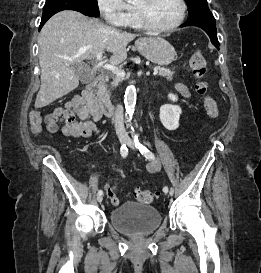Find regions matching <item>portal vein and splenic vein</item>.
Segmentation results:
<instances>
[{
  "mask_svg": "<svg viewBox=\"0 0 261 273\" xmlns=\"http://www.w3.org/2000/svg\"><path fill=\"white\" fill-rule=\"evenodd\" d=\"M98 63V66L111 71L112 73H114L115 75L119 76V77H125V71L119 67H117L114 64H104L102 61V52H99L96 56ZM158 73L157 70H154L153 74L156 75Z\"/></svg>",
  "mask_w": 261,
  "mask_h": 273,
  "instance_id": "18ae733b",
  "label": "portal vein and splenic vein"
}]
</instances>
